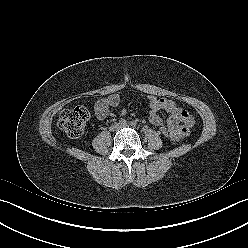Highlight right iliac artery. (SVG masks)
I'll list each match as a JSON object with an SVG mask.
<instances>
[{"label": "right iliac artery", "instance_id": "1", "mask_svg": "<svg viewBox=\"0 0 248 248\" xmlns=\"http://www.w3.org/2000/svg\"><path fill=\"white\" fill-rule=\"evenodd\" d=\"M124 123H126V120H125L124 118H121V119L119 120V124H124Z\"/></svg>", "mask_w": 248, "mask_h": 248}]
</instances>
